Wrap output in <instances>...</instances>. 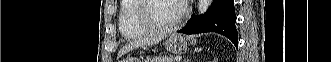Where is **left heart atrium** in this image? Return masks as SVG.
Returning a JSON list of instances; mask_svg holds the SVG:
<instances>
[{"instance_id":"obj_1","label":"left heart atrium","mask_w":331,"mask_h":62,"mask_svg":"<svg viewBox=\"0 0 331 62\" xmlns=\"http://www.w3.org/2000/svg\"><path fill=\"white\" fill-rule=\"evenodd\" d=\"M184 2H185V1H183V0L178 1V3L180 4V11L182 10V8H183V6H184Z\"/></svg>"}]
</instances>
